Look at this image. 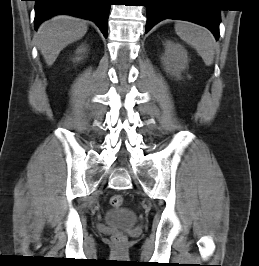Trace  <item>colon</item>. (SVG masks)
<instances>
[{
  "label": "colon",
  "mask_w": 259,
  "mask_h": 266,
  "mask_svg": "<svg viewBox=\"0 0 259 266\" xmlns=\"http://www.w3.org/2000/svg\"><path fill=\"white\" fill-rule=\"evenodd\" d=\"M124 203V198L120 194H115L110 198V205L114 208H119L123 205ZM113 240L116 245L118 246H123L127 242V238L123 234H116L113 237Z\"/></svg>",
  "instance_id": "colon-1"
}]
</instances>
